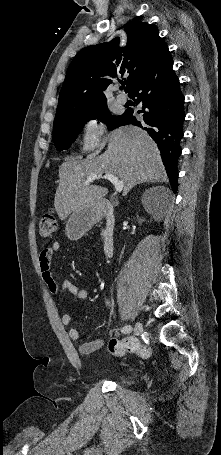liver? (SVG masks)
<instances>
[{"mask_svg": "<svg viewBox=\"0 0 221 455\" xmlns=\"http://www.w3.org/2000/svg\"><path fill=\"white\" fill-rule=\"evenodd\" d=\"M90 174H112L124 182L126 195L136 184L167 179L156 143L142 129L125 126L109 134L107 150L86 160H69L59 167L54 206L61 220L80 206L101 200L105 187L86 180Z\"/></svg>", "mask_w": 221, "mask_h": 455, "instance_id": "1", "label": "liver"}]
</instances>
